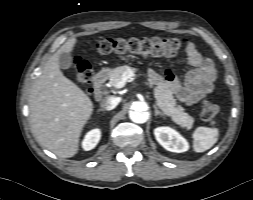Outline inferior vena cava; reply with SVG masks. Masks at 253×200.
<instances>
[{
    "instance_id": "1",
    "label": "inferior vena cava",
    "mask_w": 253,
    "mask_h": 200,
    "mask_svg": "<svg viewBox=\"0 0 253 200\" xmlns=\"http://www.w3.org/2000/svg\"><path fill=\"white\" fill-rule=\"evenodd\" d=\"M119 101L120 99L118 97L110 96L105 98L100 105L105 110H112L118 105Z\"/></svg>"
}]
</instances>
